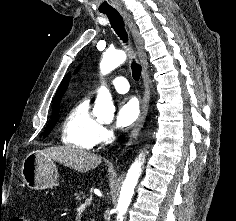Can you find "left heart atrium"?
<instances>
[{
	"mask_svg": "<svg viewBox=\"0 0 236 221\" xmlns=\"http://www.w3.org/2000/svg\"><path fill=\"white\" fill-rule=\"evenodd\" d=\"M138 115V101L133 97L123 98L118 104L115 125L118 128L126 129L136 121Z\"/></svg>",
	"mask_w": 236,
	"mask_h": 221,
	"instance_id": "1",
	"label": "left heart atrium"
}]
</instances>
